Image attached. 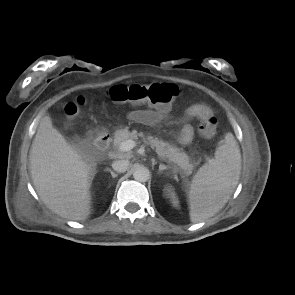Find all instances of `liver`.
<instances>
[{"label":"liver","instance_id":"obj_1","mask_svg":"<svg viewBox=\"0 0 295 295\" xmlns=\"http://www.w3.org/2000/svg\"><path fill=\"white\" fill-rule=\"evenodd\" d=\"M29 157L32 182L43 203L63 218L85 220L91 214L96 161L67 142L49 115L40 121Z\"/></svg>","mask_w":295,"mask_h":295}]
</instances>
